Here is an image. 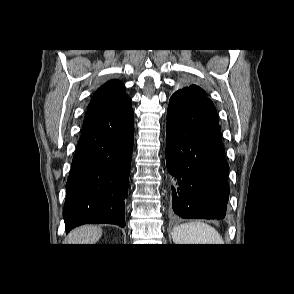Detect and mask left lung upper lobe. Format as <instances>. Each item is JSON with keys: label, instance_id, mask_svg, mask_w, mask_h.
<instances>
[{"label": "left lung upper lobe", "instance_id": "1", "mask_svg": "<svg viewBox=\"0 0 294 294\" xmlns=\"http://www.w3.org/2000/svg\"><path fill=\"white\" fill-rule=\"evenodd\" d=\"M173 95H186L193 98L209 99L205 91L196 85L184 87L175 92Z\"/></svg>", "mask_w": 294, "mask_h": 294}]
</instances>
